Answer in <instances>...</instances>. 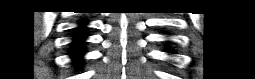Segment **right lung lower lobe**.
Returning a JSON list of instances; mask_svg holds the SVG:
<instances>
[{"instance_id":"98d812e1","label":"right lung lower lobe","mask_w":255,"mask_h":79,"mask_svg":"<svg viewBox=\"0 0 255 79\" xmlns=\"http://www.w3.org/2000/svg\"><path fill=\"white\" fill-rule=\"evenodd\" d=\"M81 27L78 29V32L75 34L73 49L71 50V56L73 57L75 62H78L84 53L83 49V40L86 38L84 33V25L86 21H81Z\"/></svg>"}]
</instances>
